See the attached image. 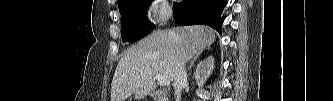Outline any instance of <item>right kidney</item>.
Returning <instances> with one entry per match:
<instances>
[{
	"mask_svg": "<svg viewBox=\"0 0 333 101\" xmlns=\"http://www.w3.org/2000/svg\"><path fill=\"white\" fill-rule=\"evenodd\" d=\"M214 68V58L212 55L201 61L195 71V79L199 86H202L211 75Z\"/></svg>",
	"mask_w": 333,
	"mask_h": 101,
	"instance_id": "1",
	"label": "right kidney"
}]
</instances>
